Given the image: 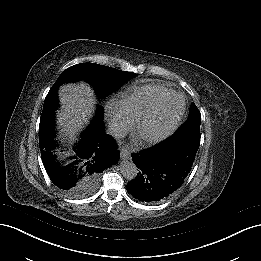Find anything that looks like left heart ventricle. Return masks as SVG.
I'll return each mask as SVG.
<instances>
[{
  "label": "left heart ventricle",
  "instance_id": "obj_1",
  "mask_svg": "<svg viewBox=\"0 0 261 261\" xmlns=\"http://www.w3.org/2000/svg\"><path fill=\"white\" fill-rule=\"evenodd\" d=\"M182 108V99H170L162 109L151 114L141 127L144 134H154L168 127L179 115Z\"/></svg>",
  "mask_w": 261,
  "mask_h": 261
}]
</instances>
